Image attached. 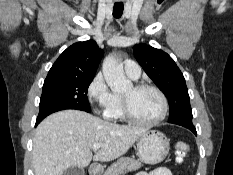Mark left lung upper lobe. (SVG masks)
Here are the masks:
<instances>
[{"mask_svg": "<svg viewBox=\"0 0 233 175\" xmlns=\"http://www.w3.org/2000/svg\"><path fill=\"white\" fill-rule=\"evenodd\" d=\"M133 53L146 74L169 100L168 122L181 126L193 125L185 79L174 60L166 52L146 44L135 45Z\"/></svg>", "mask_w": 233, "mask_h": 175, "instance_id": "left-lung-upper-lobe-1", "label": "left lung upper lobe"}]
</instances>
